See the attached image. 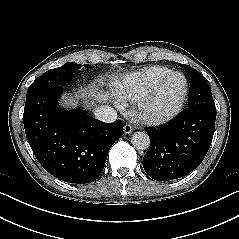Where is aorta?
I'll return each instance as SVG.
<instances>
[{"label": "aorta", "mask_w": 239, "mask_h": 239, "mask_svg": "<svg viewBox=\"0 0 239 239\" xmlns=\"http://www.w3.org/2000/svg\"><path fill=\"white\" fill-rule=\"evenodd\" d=\"M131 143L137 150H146L149 148L150 140L145 132H135L132 135Z\"/></svg>", "instance_id": "1"}]
</instances>
